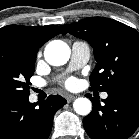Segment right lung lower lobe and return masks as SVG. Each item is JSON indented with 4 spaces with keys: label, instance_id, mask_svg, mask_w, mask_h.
Here are the masks:
<instances>
[{
    "label": "right lung lower lobe",
    "instance_id": "obj_1",
    "mask_svg": "<svg viewBox=\"0 0 139 139\" xmlns=\"http://www.w3.org/2000/svg\"><path fill=\"white\" fill-rule=\"evenodd\" d=\"M66 103L59 95L41 103H30L28 97L0 96V139H47L54 114Z\"/></svg>",
    "mask_w": 139,
    "mask_h": 139
}]
</instances>
